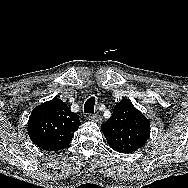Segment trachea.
<instances>
[{
    "instance_id": "1",
    "label": "trachea",
    "mask_w": 188,
    "mask_h": 188,
    "mask_svg": "<svg viewBox=\"0 0 188 188\" xmlns=\"http://www.w3.org/2000/svg\"><path fill=\"white\" fill-rule=\"evenodd\" d=\"M94 107H95V98L91 97L84 104V112L89 113V114H93L94 113Z\"/></svg>"
}]
</instances>
